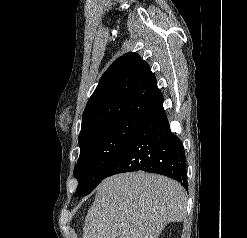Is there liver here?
Returning a JSON list of instances; mask_svg holds the SVG:
<instances>
[{
  "label": "liver",
  "mask_w": 247,
  "mask_h": 238,
  "mask_svg": "<svg viewBox=\"0 0 247 238\" xmlns=\"http://www.w3.org/2000/svg\"><path fill=\"white\" fill-rule=\"evenodd\" d=\"M183 187L162 175L130 172L104 179L97 187L83 238H159L170 222L186 215Z\"/></svg>",
  "instance_id": "liver-1"
}]
</instances>
